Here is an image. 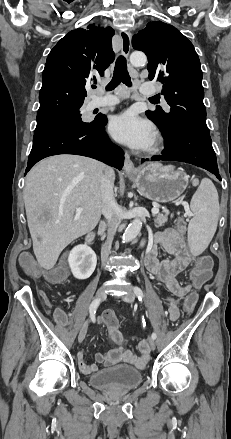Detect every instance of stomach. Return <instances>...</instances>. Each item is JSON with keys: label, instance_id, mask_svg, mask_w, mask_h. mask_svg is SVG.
<instances>
[{"label": "stomach", "instance_id": "obj_1", "mask_svg": "<svg viewBox=\"0 0 231 439\" xmlns=\"http://www.w3.org/2000/svg\"><path fill=\"white\" fill-rule=\"evenodd\" d=\"M127 175L144 197L160 203L176 200L188 185V175L181 170H165L160 164L151 163Z\"/></svg>", "mask_w": 231, "mask_h": 439}]
</instances>
